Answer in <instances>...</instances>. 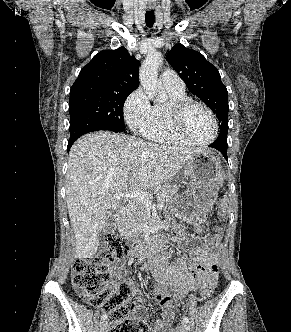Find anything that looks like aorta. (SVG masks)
<instances>
[{
    "mask_svg": "<svg viewBox=\"0 0 291 332\" xmlns=\"http://www.w3.org/2000/svg\"><path fill=\"white\" fill-rule=\"evenodd\" d=\"M162 54L158 51H150L143 61L139 77L141 85L149 98L155 99L157 102L167 100V95L163 90L161 82L158 80V68L162 63Z\"/></svg>",
    "mask_w": 291,
    "mask_h": 332,
    "instance_id": "762f6f07",
    "label": "aorta"
}]
</instances>
